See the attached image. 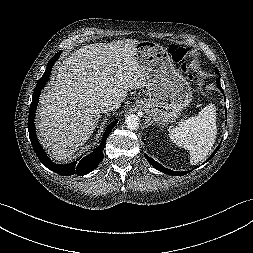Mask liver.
Instances as JSON below:
<instances>
[{"mask_svg":"<svg viewBox=\"0 0 253 253\" xmlns=\"http://www.w3.org/2000/svg\"><path fill=\"white\" fill-rule=\"evenodd\" d=\"M136 39L81 47L63 60L40 98L36 127L56 161L71 157L92 135L104 100L126 98L147 87L149 76L135 57Z\"/></svg>","mask_w":253,"mask_h":253,"instance_id":"liver-1","label":"liver"}]
</instances>
